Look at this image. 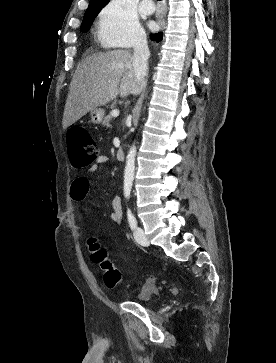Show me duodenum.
Wrapping results in <instances>:
<instances>
[{
  "label": "duodenum",
  "instance_id": "duodenum-1",
  "mask_svg": "<svg viewBox=\"0 0 276 363\" xmlns=\"http://www.w3.org/2000/svg\"><path fill=\"white\" fill-rule=\"evenodd\" d=\"M117 160L123 161L125 159V150L123 148H119L116 152Z\"/></svg>",
  "mask_w": 276,
  "mask_h": 363
}]
</instances>
